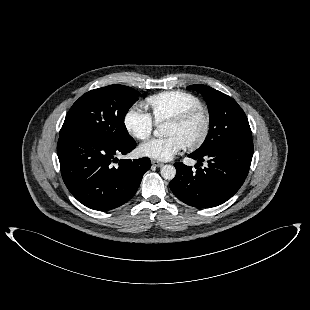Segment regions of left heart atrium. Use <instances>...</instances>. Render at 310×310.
I'll use <instances>...</instances> for the list:
<instances>
[{"label":"left heart atrium","instance_id":"left-heart-atrium-1","mask_svg":"<svg viewBox=\"0 0 310 310\" xmlns=\"http://www.w3.org/2000/svg\"><path fill=\"white\" fill-rule=\"evenodd\" d=\"M185 144L176 135H171L165 138L152 139L145 142L140 147L142 155L161 160L168 161L179 153Z\"/></svg>","mask_w":310,"mask_h":310}]
</instances>
